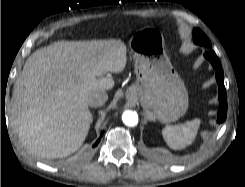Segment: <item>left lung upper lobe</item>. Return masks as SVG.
Here are the masks:
<instances>
[{
	"label": "left lung upper lobe",
	"mask_w": 245,
	"mask_h": 187,
	"mask_svg": "<svg viewBox=\"0 0 245 187\" xmlns=\"http://www.w3.org/2000/svg\"><path fill=\"white\" fill-rule=\"evenodd\" d=\"M194 43L199 44L208 48H211V43L208 37L198 28L193 30Z\"/></svg>",
	"instance_id": "1"
}]
</instances>
